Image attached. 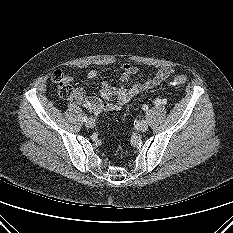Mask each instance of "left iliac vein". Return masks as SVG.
<instances>
[{
  "label": "left iliac vein",
  "instance_id": "4c4485c4",
  "mask_svg": "<svg viewBox=\"0 0 233 233\" xmlns=\"http://www.w3.org/2000/svg\"><path fill=\"white\" fill-rule=\"evenodd\" d=\"M138 129L141 131V132H146L148 130V123L147 121L145 120H142L139 125H138Z\"/></svg>",
  "mask_w": 233,
  "mask_h": 233
}]
</instances>
